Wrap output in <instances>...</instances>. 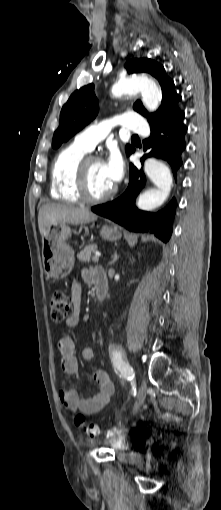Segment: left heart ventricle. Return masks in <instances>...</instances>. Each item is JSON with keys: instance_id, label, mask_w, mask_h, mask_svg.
I'll list each match as a JSON object with an SVG mask.
<instances>
[{"instance_id": "1", "label": "left heart ventricle", "mask_w": 221, "mask_h": 510, "mask_svg": "<svg viewBox=\"0 0 221 510\" xmlns=\"http://www.w3.org/2000/svg\"><path fill=\"white\" fill-rule=\"evenodd\" d=\"M88 191L93 197L102 196L114 188L108 179L103 162L93 161L88 166Z\"/></svg>"}]
</instances>
